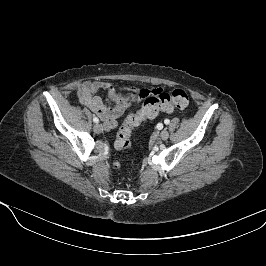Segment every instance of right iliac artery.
<instances>
[{
	"label": "right iliac artery",
	"mask_w": 266,
	"mask_h": 266,
	"mask_svg": "<svg viewBox=\"0 0 266 266\" xmlns=\"http://www.w3.org/2000/svg\"><path fill=\"white\" fill-rule=\"evenodd\" d=\"M93 121H94L95 123H98V122H99V119H98L97 117H94V118H93Z\"/></svg>",
	"instance_id": "1"
}]
</instances>
